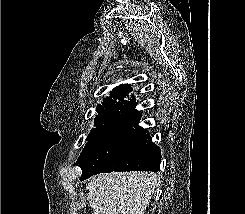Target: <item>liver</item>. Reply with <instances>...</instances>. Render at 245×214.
Masks as SVG:
<instances>
[{
    "mask_svg": "<svg viewBox=\"0 0 245 214\" xmlns=\"http://www.w3.org/2000/svg\"><path fill=\"white\" fill-rule=\"evenodd\" d=\"M156 173L98 174L86 185L93 214H144L158 185Z\"/></svg>",
    "mask_w": 245,
    "mask_h": 214,
    "instance_id": "liver-1",
    "label": "liver"
}]
</instances>
